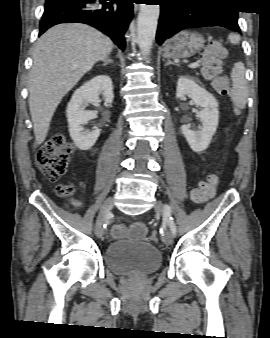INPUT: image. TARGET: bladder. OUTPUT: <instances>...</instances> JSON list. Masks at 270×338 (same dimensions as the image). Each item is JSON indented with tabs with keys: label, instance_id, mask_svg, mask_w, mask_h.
<instances>
[{
	"label": "bladder",
	"instance_id": "31cf9c89",
	"mask_svg": "<svg viewBox=\"0 0 270 338\" xmlns=\"http://www.w3.org/2000/svg\"><path fill=\"white\" fill-rule=\"evenodd\" d=\"M162 254L145 242H110L105 248V265L109 271L124 277L147 276L161 267Z\"/></svg>",
	"mask_w": 270,
	"mask_h": 338
}]
</instances>
